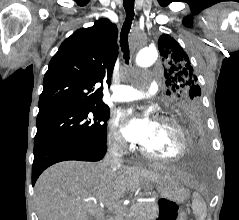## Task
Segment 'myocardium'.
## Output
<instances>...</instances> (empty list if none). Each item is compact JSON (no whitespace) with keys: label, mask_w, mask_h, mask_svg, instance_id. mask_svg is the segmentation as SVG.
Listing matches in <instances>:
<instances>
[{"label":"myocardium","mask_w":239,"mask_h":220,"mask_svg":"<svg viewBox=\"0 0 239 220\" xmlns=\"http://www.w3.org/2000/svg\"><path fill=\"white\" fill-rule=\"evenodd\" d=\"M157 121L161 122V123L169 124L173 128H175V130L177 131V133L179 135V139H180L179 150L176 154H174L172 156H164V155H159V154L153 153V152L149 151L148 149H146L142 145L140 147L141 153L150 159L157 160V161H163V162H173V161H177V160L183 158L186 155L187 150H188V140H187V136H186V133H185L183 127L178 123L177 120H175L174 118L169 117V116H159L157 118Z\"/></svg>","instance_id":"obj_1"}]
</instances>
